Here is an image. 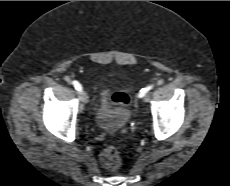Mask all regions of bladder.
<instances>
[{
    "mask_svg": "<svg viewBox=\"0 0 230 186\" xmlns=\"http://www.w3.org/2000/svg\"><path fill=\"white\" fill-rule=\"evenodd\" d=\"M109 91L104 89L100 95V107L95 116V124L104 131H116L120 129L128 119V109L124 105H118L110 109H104L102 104L108 99Z\"/></svg>",
    "mask_w": 230,
    "mask_h": 186,
    "instance_id": "31cf9c89",
    "label": "bladder"
}]
</instances>
